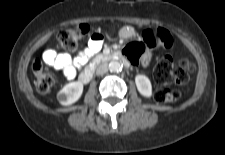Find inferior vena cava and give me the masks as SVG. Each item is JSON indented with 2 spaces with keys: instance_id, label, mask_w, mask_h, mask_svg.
Segmentation results:
<instances>
[{
  "instance_id": "1",
  "label": "inferior vena cava",
  "mask_w": 225,
  "mask_h": 155,
  "mask_svg": "<svg viewBox=\"0 0 225 155\" xmlns=\"http://www.w3.org/2000/svg\"><path fill=\"white\" fill-rule=\"evenodd\" d=\"M108 71V66L107 64L103 63L100 64L97 69H96V74L97 75H103L104 73H106Z\"/></svg>"
}]
</instances>
